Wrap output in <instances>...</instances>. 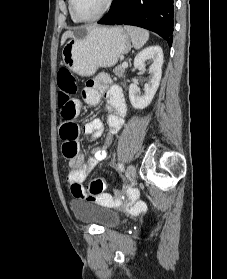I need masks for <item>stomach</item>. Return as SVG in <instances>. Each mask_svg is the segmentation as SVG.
Masks as SVG:
<instances>
[{"label":"stomach","instance_id":"stomach-1","mask_svg":"<svg viewBox=\"0 0 227 279\" xmlns=\"http://www.w3.org/2000/svg\"><path fill=\"white\" fill-rule=\"evenodd\" d=\"M131 49V39L121 27L80 28L62 49L66 67L80 76H91L100 67L114 66Z\"/></svg>","mask_w":227,"mask_h":279}]
</instances>
